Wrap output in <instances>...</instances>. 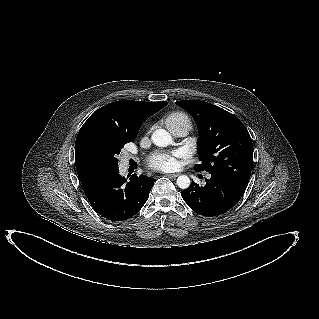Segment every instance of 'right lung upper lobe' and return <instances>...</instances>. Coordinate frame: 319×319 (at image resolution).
<instances>
[{
    "label": "right lung upper lobe",
    "mask_w": 319,
    "mask_h": 319,
    "mask_svg": "<svg viewBox=\"0 0 319 319\" xmlns=\"http://www.w3.org/2000/svg\"><path fill=\"white\" fill-rule=\"evenodd\" d=\"M166 105L167 102L121 100L95 111L81 127L75 143L76 169L80 182L84 183L107 171L101 164L84 155L82 143L86 138L99 135L125 142L133 141L141 124Z\"/></svg>",
    "instance_id": "cb5924a9"
}]
</instances>
